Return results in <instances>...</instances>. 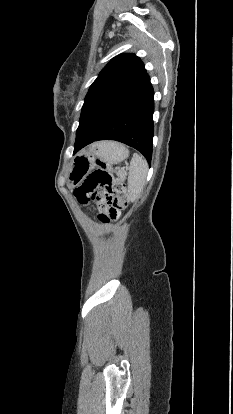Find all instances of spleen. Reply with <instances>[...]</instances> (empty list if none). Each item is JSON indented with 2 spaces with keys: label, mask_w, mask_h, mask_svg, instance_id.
I'll return each mask as SVG.
<instances>
[{
  "label": "spleen",
  "mask_w": 233,
  "mask_h": 414,
  "mask_svg": "<svg viewBox=\"0 0 233 414\" xmlns=\"http://www.w3.org/2000/svg\"><path fill=\"white\" fill-rule=\"evenodd\" d=\"M148 164L139 154H133L128 175V197L132 202L140 198L146 182Z\"/></svg>",
  "instance_id": "3e777b00"
}]
</instances>
